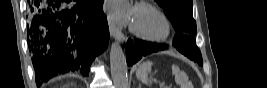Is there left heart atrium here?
<instances>
[{"instance_id": "1", "label": "left heart atrium", "mask_w": 267, "mask_h": 88, "mask_svg": "<svg viewBox=\"0 0 267 88\" xmlns=\"http://www.w3.org/2000/svg\"><path fill=\"white\" fill-rule=\"evenodd\" d=\"M109 18L117 24H127L132 20L133 11L124 0H114L107 4Z\"/></svg>"}]
</instances>
